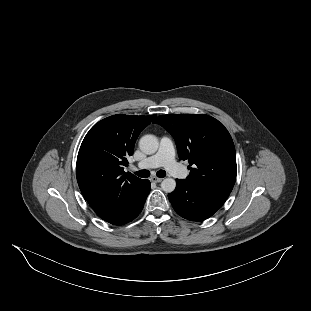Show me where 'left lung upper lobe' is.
I'll return each mask as SVG.
<instances>
[{"label": "left lung upper lobe", "instance_id": "1", "mask_svg": "<svg viewBox=\"0 0 311 311\" xmlns=\"http://www.w3.org/2000/svg\"><path fill=\"white\" fill-rule=\"evenodd\" d=\"M154 123L174 137L179 158L192 166L186 181L232 191L237 174L235 147L222 123L204 114L161 115Z\"/></svg>", "mask_w": 311, "mask_h": 311}]
</instances>
